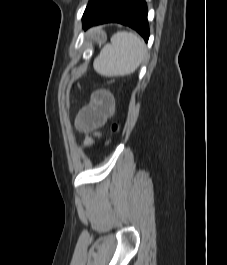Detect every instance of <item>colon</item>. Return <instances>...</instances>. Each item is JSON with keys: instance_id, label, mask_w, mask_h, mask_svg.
Wrapping results in <instances>:
<instances>
[{"instance_id": "colon-1", "label": "colon", "mask_w": 227, "mask_h": 265, "mask_svg": "<svg viewBox=\"0 0 227 265\" xmlns=\"http://www.w3.org/2000/svg\"><path fill=\"white\" fill-rule=\"evenodd\" d=\"M112 132L117 135L121 132V124L118 122H115L112 124ZM113 142V140H110L107 142L108 145H110Z\"/></svg>"}]
</instances>
